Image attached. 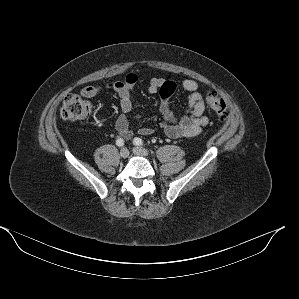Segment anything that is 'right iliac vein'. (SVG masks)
Here are the masks:
<instances>
[{"instance_id":"1","label":"right iliac vein","mask_w":299,"mask_h":299,"mask_svg":"<svg viewBox=\"0 0 299 299\" xmlns=\"http://www.w3.org/2000/svg\"><path fill=\"white\" fill-rule=\"evenodd\" d=\"M120 156H121V158H123V159L128 158V156H129V151H128V149H127V148H122L121 151H120Z\"/></svg>"}]
</instances>
